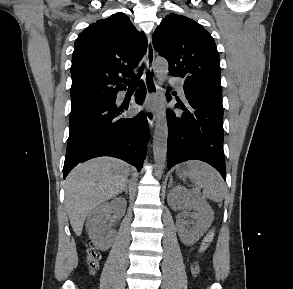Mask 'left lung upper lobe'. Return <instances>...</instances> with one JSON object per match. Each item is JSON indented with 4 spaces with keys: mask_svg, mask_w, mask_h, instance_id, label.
<instances>
[{
    "mask_svg": "<svg viewBox=\"0 0 293 289\" xmlns=\"http://www.w3.org/2000/svg\"><path fill=\"white\" fill-rule=\"evenodd\" d=\"M153 46L167 59L170 75L181 77L184 85L222 94L219 53L214 39L200 24L169 14L155 30Z\"/></svg>",
    "mask_w": 293,
    "mask_h": 289,
    "instance_id": "obj_1",
    "label": "left lung upper lobe"
}]
</instances>
